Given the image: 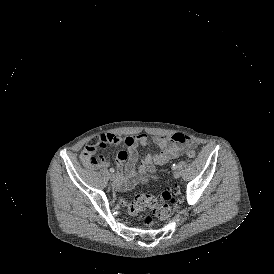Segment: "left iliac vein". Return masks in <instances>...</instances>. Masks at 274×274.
<instances>
[{
  "label": "left iliac vein",
  "mask_w": 274,
  "mask_h": 274,
  "mask_svg": "<svg viewBox=\"0 0 274 274\" xmlns=\"http://www.w3.org/2000/svg\"><path fill=\"white\" fill-rule=\"evenodd\" d=\"M174 178L178 179L180 177V173L178 171H174Z\"/></svg>",
  "instance_id": "1"
}]
</instances>
